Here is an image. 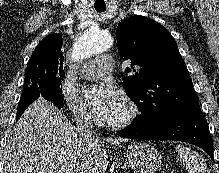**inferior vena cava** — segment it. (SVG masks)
Instances as JSON below:
<instances>
[{
  "mask_svg": "<svg viewBox=\"0 0 219 173\" xmlns=\"http://www.w3.org/2000/svg\"><path fill=\"white\" fill-rule=\"evenodd\" d=\"M77 138L79 141H91L94 138L93 123L86 109H81L76 116Z\"/></svg>",
  "mask_w": 219,
  "mask_h": 173,
  "instance_id": "obj_1",
  "label": "inferior vena cava"
}]
</instances>
